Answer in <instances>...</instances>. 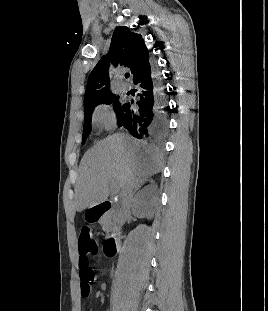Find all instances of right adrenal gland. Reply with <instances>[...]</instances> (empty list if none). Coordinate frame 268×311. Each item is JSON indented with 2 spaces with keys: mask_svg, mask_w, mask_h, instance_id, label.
Listing matches in <instances>:
<instances>
[{
  "mask_svg": "<svg viewBox=\"0 0 268 311\" xmlns=\"http://www.w3.org/2000/svg\"><path fill=\"white\" fill-rule=\"evenodd\" d=\"M148 181L151 182V183L153 182L152 180H148ZM143 184H144V182H143V183H140V184L137 186L136 190H138L139 188H141V186H142ZM136 190H135V191H136Z\"/></svg>",
  "mask_w": 268,
  "mask_h": 311,
  "instance_id": "2a0ac1e0",
  "label": "right adrenal gland"
}]
</instances>
